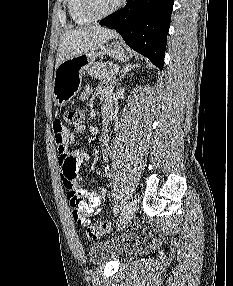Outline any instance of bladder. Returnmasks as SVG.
<instances>
[{
    "label": "bladder",
    "mask_w": 233,
    "mask_h": 286,
    "mask_svg": "<svg viewBox=\"0 0 233 286\" xmlns=\"http://www.w3.org/2000/svg\"><path fill=\"white\" fill-rule=\"evenodd\" d=\"M134 250V242L131 237L121 239H100L93 242L88 249L91 262L100 264L106 261H123Z\"/></svg>",
    "instance_id": "bladder-1"
}]
</instances>
